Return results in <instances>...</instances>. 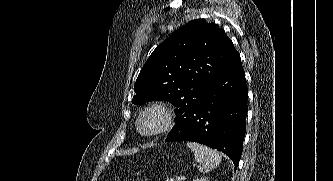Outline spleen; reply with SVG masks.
<instances>
[{"label": "spleen", "mask_w": 333, "mask_h": 181, "mask_svg": "<svg viewBox=\"0 0 333 181\" xmlns=\"http://www.w3.org/2000/svg\"><path fill=\"white\" fill-rule=\"evenodd\" d=\"M187 146L193 151L201 173L209 172L218 166L222 160L217 151L207 146L195 142H187Z\"/></svg>", "instance_id": "spleen-1"}]
</instances>
